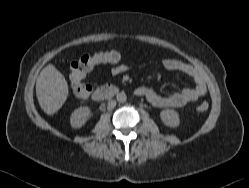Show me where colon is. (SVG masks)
I'll list each match as a JSON object with an SVG mask.
<instances>
[{
  "mask_svg": "<svg viewBox=\"0 0 249 188\" xmlns=\"http://www.w3.org/2000/svg\"><path fill=\"white\" fill-rule=\"evenodd\" d=\"M121 55L115 50L97 52L94 54H85L73 61L70 65V81L73 92L77 99L85 101L90 97L91 86L84 79L86 74L97 64L117 63L120 61ZM208 109V103L202 101L198 104L196 111L203 114Z\"/></svg>",
  "mask_w": 249,
  "mask_h": 188,
  "instance_id": "5ec220e1",
  "label": "colon"
}]
</instances>
